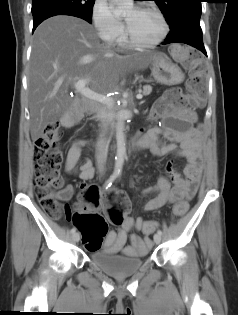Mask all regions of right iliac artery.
I'll return each mask as SVG.
<instances>
[{"label": "right iliac artery", "mask_w": 238, "mask_h": 315, "mask_svg": "<svg viewBox=\"0 0 238 315\" xmlns=\"http://www.w3.org/2000/svg\"><path fill=\"white\" fill-rule=\"evenodd\" d=\"M115 178H116V175H115V174L111 175L110 178L105 182V184H104L103 187L106 188V189H107L108 187H110V186L112 185V183L114 182ZM75 231H76V228H75V227L71 229V233H72V234L75 233Z\"/></svg>", "instance_id": "1"}]
</instances>
